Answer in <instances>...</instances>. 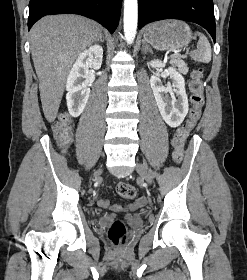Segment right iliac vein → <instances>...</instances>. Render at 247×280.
<instances>
[{
  "label": "right iliac vein",
  "instance_id": "right-iliac-vein-1",
  "mask_svg": "<svg viewBox=\"0 0 247 280\" xmlns=\"http://www.w3.org/2000/svg\"><path fill=\"white\" fill-rule=\"evenodd\" d=\"M102 170H99L96 174V176H99L101 174Z\"/></svg>",
  "mask_w": 247,
  "mask_h": 280
}]
</instances>
